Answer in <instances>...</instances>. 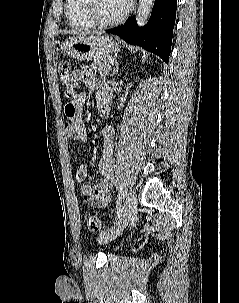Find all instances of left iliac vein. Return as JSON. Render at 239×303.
<instances>
[{
    "label": "left iliac vein",
    "mask_w": 239,
    "mask_h": 303,
    "mask_svg": "<svg viewBox=\"0 0 239 303\" xmlns=\"http://www.w3.org/2000/svg\"><path fill=\"white\" fill-rule=\"evenodd\" d=\"M137 210V196L134 190H131L126 198L121 217L107 231L100 234L98 242L104 244L112 241L119 236L132 220Z\"/></svg>",
    "instance_id": "obj_1"
}]
</instances>
